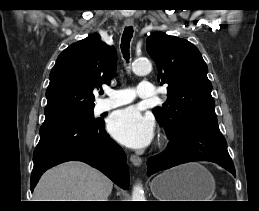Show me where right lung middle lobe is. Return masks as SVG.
<instances>
[{
    "instance_id": "obj_1",
    "label": "right lung middle lobe",
    "mask_w": 259,
    "mask_h": 211,
    "mask_svg": "<svg viewBox=\"0 0 259 211\" xmlns=\"http://www.w3.org/2000/svg\"><path fill=\"white\" fill-rule=\"evenodd\" d=\"M63 121L76 122L80 124H94L100 122L98 119L94 118L93 111L77 114Z\"/></svg>"
}]
</instances>
